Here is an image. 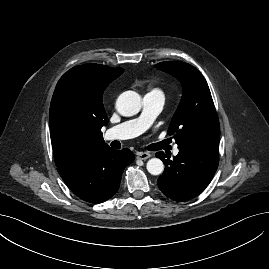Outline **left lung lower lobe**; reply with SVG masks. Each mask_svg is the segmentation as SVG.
I'll use <instances>...</instances> for the list:
<instances>
[{
	"label": "left lung lower lobe",
	"mask_w": 269,
	"mask_h": 269,
	"mask_svg": "<svg viewBox=\"0 0 269 269\" xmlns=\"http://www.w3.org/2000/svg\"><path fill=\"white\" fill-rule=\"evenodd\" d=\"M219 142L206 141L193 148H179L177 156L156 153L164 164L159 189L170 199L187 201L199 195L212 180L219 163Z\"/></svg>",
	"instance_id": "obj_1"
}]
</instances>
